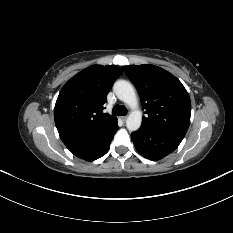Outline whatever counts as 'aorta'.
I'll return each mask as SVG.
<instances>
[{
    "mask_svg": "<svg viewBox=\"0 0 233 233\" xmlns=\"http://www.w3.org/2000/svg\"><path fill=\"white\" fill-rule=\"evenodd\" d=\"M113 90L118 99L131 108L126 127L129 131H137L141 127L142 112L138 109V98L133 85L126 80H118L114 83Z\"/></svg>",
    "mask_w": 233,
    "mask_h": 233,
    "instance_id": "aorta-1",
    "label": "aorta"
}]
</instances>
